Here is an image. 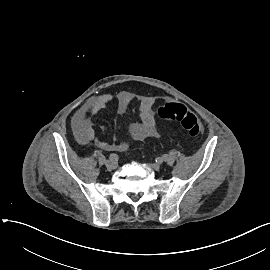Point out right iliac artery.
Listing matches in <instances>:
<instances>
[{
    "label": "right iliac artery",
    "mask_w": 270,
    "mask_h": 270,
    "mask_svg": "<svg viewBox=\"0 0 270 270\" xmlns=\"http://www.w3.org/2000/svg\"><path fill=\"white\" fill-rule=\"evenodd\" d=\"M109 159H110V161L116 163L118 161L119 157L117 154L112 153V154H110Z\"/></svg>",
    "instance_id": "1"
}]
</instances>
